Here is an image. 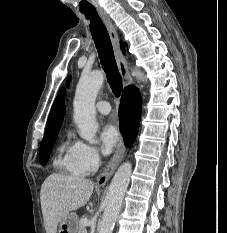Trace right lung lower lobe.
<instances>
[{
  "label": "right lung lower lobe",
  "instance_id": "1",
  "mask_svg": "<svg viewBox=\"0 0 227 233\" xmlns=\"http://www.w3.org/2000/svg\"><path fill=\"white\" fill-rule=\"evenodd\" d=\"M134 86L124 89L119 107L120 130L127 147L131 146L139 128L140 108L134 101Z\"/></svg>",
  "mask_w": 227,
  "mask_h": 233
}]
</instances>
